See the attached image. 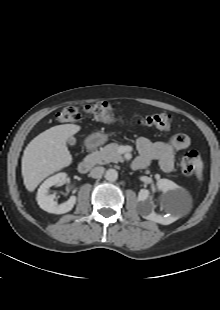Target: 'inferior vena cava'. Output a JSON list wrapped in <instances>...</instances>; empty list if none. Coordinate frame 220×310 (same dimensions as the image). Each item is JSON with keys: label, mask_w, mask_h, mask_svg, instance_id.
I'll return each mask as SVG.
<instances>
[{"label": "inferior vena cava", "mask_w": 220, "mask_h": 310, "mask_svg": "<svg viewBox=\"0 0 220 310\" xmlns=\"http://www.w3.org/2000/svg\"><path fill=\"white\" fill-rule=\"evenodd\" d=\"M104 171H105L104 167L101 166L94 167L90 172V176L92 178H100L103 175Z\"/></svg>", "instance_id": "602c4592"}]
</instances>
